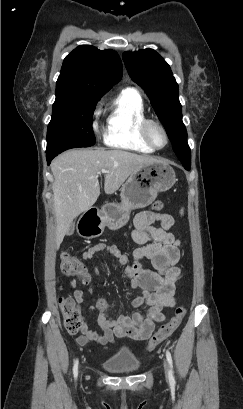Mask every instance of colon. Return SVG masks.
I'll use <instances>...</instances> for the list:
<instances>
[{
	"label": "colon",
	"mask_w": 243,
	"mask_h": 409,
	"mask_svg": "<svg viewBox=\"0 0 243 409\" xmlns=\"http://www.w3.org/2000/svg\"><path fill=\"white\" fill-rule=\"evenodd\" d=\"M163 206L164 205L161 201H156L152 205V208L154 211H160L163 209ZM59 268L66 276L78 277L83 283L88 282V275L84 265L67 252L61 254ZM59 305L65 329L69 333H77L82 326L80 304L72 297L65 296L60 298ZM185 314L186 309L184 307H178L175 316L159 328V330L150 338L145 349L147 351H152L161 342L169 338L180 326Z\"/></svg>",
	"instance_id": "obj_1"
}]
</instances>
